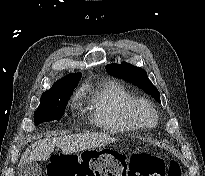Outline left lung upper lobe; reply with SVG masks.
<instances>
[{"mask_svg": "<svg viewBox=\"0 0 205 176\" xmlns=\"http://www.w3.org/2000/svg\"><path fill=\"white\" fill-rule=\"evenodd\" d=\"M106 70L108 73L114 76L133 83L137 87L144 90L146 93L150 94L157 102L161 103L160 93L149 80L144 69L133 66L126 62H122L121 64L106 65Z\"/></svg>", "mask_w": 205, "mask_h": 176, "instance_id": "5c2ea615", "label": "left lung upper lobe"}]
</instances>
